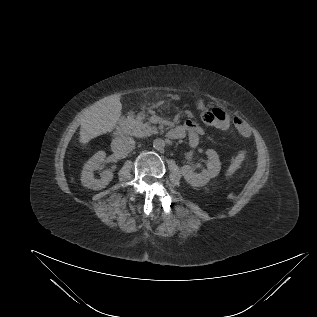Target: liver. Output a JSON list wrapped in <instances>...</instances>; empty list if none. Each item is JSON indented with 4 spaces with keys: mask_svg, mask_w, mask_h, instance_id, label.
Listing matches in <instances>:
<instances>
[{
    "mask_svg": "<svg viewBox=\"0 0 317 317\" xmlns=\"http://www.w3.org/2000/svg\"><path fill=\"white\" fill-rule=\"evenodd\" d=\"M121 110L122 104L117 95L105 97L85 109L81 117L80 143L85 145L91 139L113 131L120 118Z\"/></svg>",
    "mask_w": 317,
    "mask_h": 317,
    "instance_id": "liver-1",
    "label": "liver"
}]
</instances>
